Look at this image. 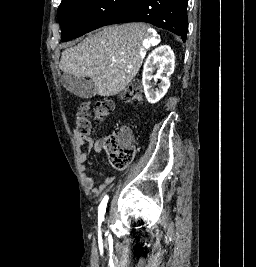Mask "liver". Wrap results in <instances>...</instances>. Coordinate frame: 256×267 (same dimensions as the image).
Segmentation results:
<instances>
[{"label": "liver", "mask_w": 256, "mask_h": 267, "mask_svg": "<svg viewBox=\"0 0 256 267\" xmlns=\"http://www.w3.org/2000/svg\"><path fill=\"white\" fill-rule=\"evenodd\" d=\"M146 36V24L104 26L64 50L59 68L77 78H91L99 96H116L138 74Z\"/></svg>", "instance_id": "1"}]
</instances>
